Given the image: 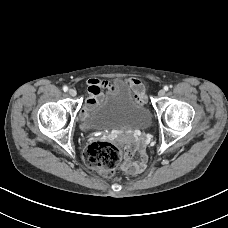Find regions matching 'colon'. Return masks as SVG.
<instances>
[{"mask_svg": "<svg viewBox=\"0 0 228 228\" xmlns=\"http://www.w3.org/2000/svg\"><path fill=\"white\" fill-rule=\"evenodd\" d=\"M85 163L93 170L104 176L114 173L122 159V151L116 145L95 141L90 143L84 154Z\"/></svg>", "mask_w": 228, "mask_h": 228, "instance_id": "obj_1", "label": "colon"}]
</instances>
